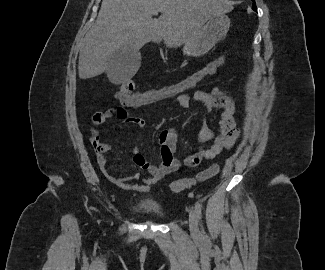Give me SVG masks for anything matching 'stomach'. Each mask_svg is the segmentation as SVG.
Here are the masks:
<instances>
[{"label":"stomach","mask_w":325,"mask_h":270,"mask_svg":"<svg viewBox=\"0 0 325 270\" xmlns=\"http://www.w3.org/2000/svg\"><path fill=\"white\" fill-rule=\"evenodd\" d=\"M230 27V19L219 15L209 19L196 34L193 40L185 43L184 55L198 57L206 54L219 40L226 36Z\"/></svg>","instance_id":"0dacf381"}]
</instances>
